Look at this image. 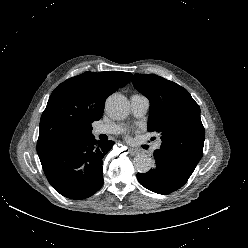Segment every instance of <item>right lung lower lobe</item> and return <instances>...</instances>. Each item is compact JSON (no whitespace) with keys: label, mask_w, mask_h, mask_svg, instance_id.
Returning a JSON list of instances; mask_svg holds the SVG:
<instances>
[{"label":"right lung lower lobe","mask_w":248,"mask_h":248,"mask_svg":"<svg viewBox=\"0 0 248 248\" xmlns=\"http://www.w3.org/2000/svg\"><path fill=\"white\" fill-rule=\"evenodd\" d=\"M113 145V141H96L92 133L78 134L39 158L57 192L70 199H85L102 187V159Z\"/></svg>","instance_id":"1"}]
</instances>
